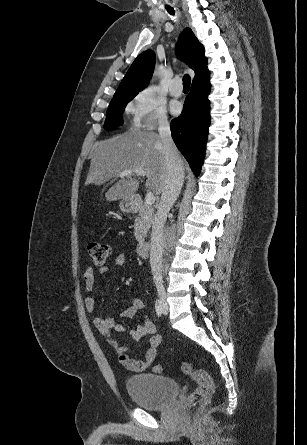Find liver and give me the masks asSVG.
<instances>
[{"label": "liver", "instance_id": "6515ba94", "mask_svg": "<svg viewBox=\"0 0 307 445\" xmlns=\"http://www.w3.org/2000/svg\"><path fill=\"white\" fill-rule=\"evenodd\" d=\"M165 150L157 132L131 130L115 134L107 140L95 142L85 184H105L113 176H119L124 168L146 170V186L160 194L164 180ZM140 186L137 172H129L117 180L105 192V200L129 198Z\"/></svg>", "mask_w": 307, "mask_h": 445}]
</instances>
